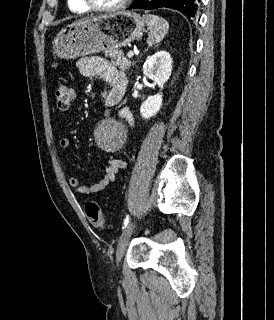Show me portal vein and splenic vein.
I'll use <instances>...</instances> for the list:
<instances>
[{
  "label": "portal vein and splenic vein",
  "instance_id": "obj_1",
  "mask_svg": "<svg viewBox=\"0 0 274 320\" xmlns=\"http://www.w3.org/2000/svg\"><path fill=\"white\" fill-rule=\"evenodd\" d=\"M127 56H128V58H133L134 52H128Z\"/></svg>",
  "mask_w": 274,
  "mask_h": 320
}]
</instances>
